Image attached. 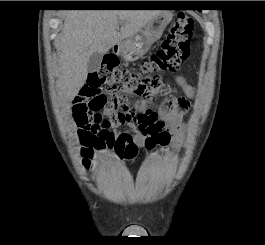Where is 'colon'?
Wrapping results in <instances>:
<instances>
[{
  "label": "colon",
  "mask_w": 265,
  "mask_h": 245,
  "mask_svg": "<svg viewBox=\"0 0 265 245\" xmlns=\"http://www.w3.org/2000/svg\"><path fill=\"white\" fill-rule=\"evenodd\" d=\"M194 27L195 20L181 13L176 16L161 47L150 59L142 61L136 70L121 69L119 59L108 54L105 62L89 73L88 86L94 93L101 95V102L92 105L91 111L80 118V145L88 148L104 145L122 156L135 154V151L125 147L122 141L115 140L111 132L100 129L101 124L111 122L101 113L104 108L109 107L119 110L116 121L120 125L132 124L144 135L148 150L168 144L170 132L165 128L164 121L151 109V105L157 97L165 93V88L159 81L160 76L177 73L188 59ZM123 91L141 99L146 110L138 114L132 113L121 96Z\"/></svg>",
  "instance_id": "5ec220e1"
}]
</instances>
